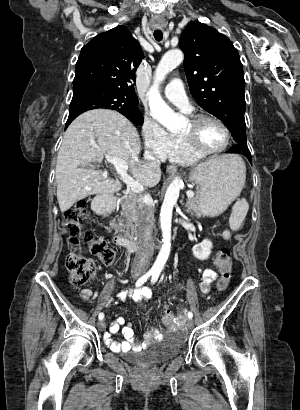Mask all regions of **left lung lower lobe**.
Segmentation results:
<instances>
[{"label": "left lung lower lobe", "instance_id": "left-lung-lower-lobe-1", "mask_svg": "<svg viewBox=\"0 0 300 410\" xmlns=\"http://www.w3.org/2000/svg\"><path fill=\"white\" fill-rule=\"evenodd\" d=\"M226 153H238V154H243V155H245V156L248 158V160L250 161V163H252L251 154H250V151L248 150V148L246 147V145L237 144V145H235L233 148H231L230 150L226 151Z\"/></svg>", "mask_w": 300, "mask_h": 410}]
</instances>
